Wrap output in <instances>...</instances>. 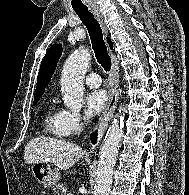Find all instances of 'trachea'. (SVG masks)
<instances>
[{"instance_id":"trachea-1","label":"trachea","mask_w":189,"mask_h":195,"mask_svg":"<svg viewBox=\"0 0 189 195\" xmlns=\"http://www.w3.org/2000/svg\"><path fill=\"white\" fill-rule=\"evenodd\" d=\"M82 23L86 26L92 43L97 62L101 64L106 72L111 69V58L103 40V34L99 22L87 7L73 8Z\"/></svg>"}]
</instances>
